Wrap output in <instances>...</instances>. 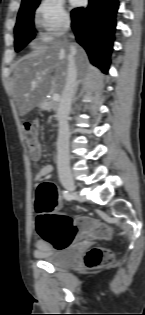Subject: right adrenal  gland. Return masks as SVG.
<instances>
[{
  "mask_svg": "<svg viewBox=\"0 0 145 315\" xmlns=\"http://www.w3.org/2000/svg\"><path fill=\"white\" fill-rule=\"evenodd\" d=\"M80 83H81V80H78V81H77V88H78V86H79ZM77 88H76V90H77Z\"/></svg>",
  "mask_w": 145,
  "mask_h": 315,
  "instance_id": "2a0ac1e0",
  "label": "right adrenal gland"
}]
</instances>
